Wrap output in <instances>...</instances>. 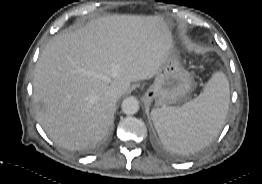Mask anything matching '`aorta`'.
Listing matches in <instances>:
<instances>
[{
  "mask_svg": "<svg viewBox=\"0 0 262 184\" xmlns=\"http://www.w3.org/2000/svg\"><path fill=\"white\" fill-rule=\"evenodd\" d=\"M121 107H122V111L125 114L127 115L135 114L139 110V101L137 100V98L130 96L122 101Z\"/></svg>",
  "mask_w": 262,
  "mask_h": 184,
  "instance_id": "762f6f07",
  "label": "aorta"
}]
</instances>
